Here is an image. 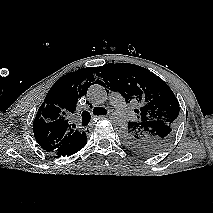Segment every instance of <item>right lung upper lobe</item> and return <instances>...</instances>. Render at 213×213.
Wrapping results in <instances>:
<instances>
[{
  "label": "right lung upper lobe",
  "mask_w": 213,
  "mask_h": 213,
  "mask_svg": "<svg viewBox=\"0 0 213 213\" xmlns=\"http://www.w3.org/2000/svg\"><path fill=\"white\" fill-rule=\"evenodd\" d=\"M94 68H83L62 76L49 90L33 123L37 143L50 153L65 150L79 141L85 132L73 129L68 117L76 110L79 97L95 81Z\"/></svg>",
  "instance_id": "1"
}]
</instances>
